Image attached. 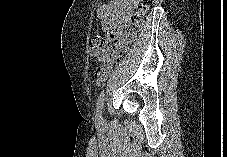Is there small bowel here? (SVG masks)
<instances>
[{
	"instance_id": "small-bowel-1",
	"label": "small bowel",
	"mask_w": 227,
	"mask_h": 157,
	"mask_svg": "<svg viewBox=\"0 0 227 157\" xmlns=\"http://www.w3.org/2000/svg\"><path fill=\"white\" fill-rule=\"evenodd\" d=\"M138 3L139 0H110L97 8L96 15L112 41L122 37Z\"/></svg>"
}]
</instances>
